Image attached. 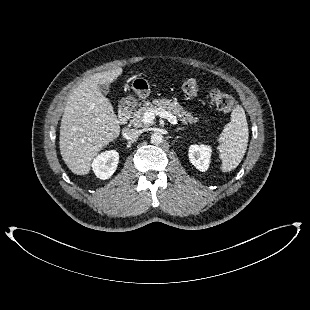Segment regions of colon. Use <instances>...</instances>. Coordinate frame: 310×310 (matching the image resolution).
<instances>
[{
  "label": "colon",
  "instance_id": "obj_1",
  "mask_svg": "<svg viewBox=\"0 0 310 310\" xmlns=\"http://www.w3.org/2000/svg\"><path fill=\"white\" fill-rule=\"evenodd\" d=\"M199 90L200 86L195 79H187L182 84V91L187 96H194ZM208 97L210 102L224 113L231 112L237 105L233 96L218 89H210L208 91Z\"/></svg>",
  "mask_w": 310,
  "mask_h": 310
}]
</instances>
